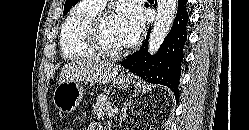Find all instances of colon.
I'll use <instances>...</instances> for the list:
<instances>
[{
	"label": "colon",
	"instance_id": "colon-1",
	"mask_svg": "<svg viewBox=\"0 0 249 130\" xmlns=\"http://www.w3.org/2000/svg\"><path fill=\"white\" fill-rule=\"evenodd\" d=\"M62 130H75L72 126L67 125Z\"/></svg>",
	"mask_w": 249,
	"mask_h": 130
}]
</instances>
